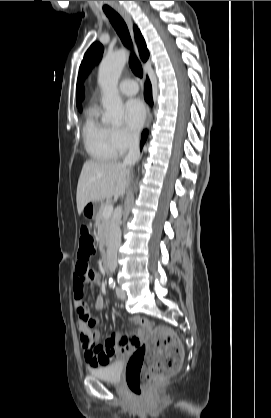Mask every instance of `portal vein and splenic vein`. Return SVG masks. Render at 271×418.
<instances>
[{
    "mask_svg": "<svg viewBox=\"0 0 271 418\" xmlns=\"http://www.w3.org/2000/svg\"><path fill=\"white\" fill-rule=\"evenodd\" d=\"M112 213H113V205L112 204L105 205L103 209V216L105 218H109L111 217Z\"/></svg>",
    "mask_w": 271,
    "mask_h": 418,
    "instance_id": "18ae733b",
    "label": "portal vein and splenic vein"
}]
</instances>
